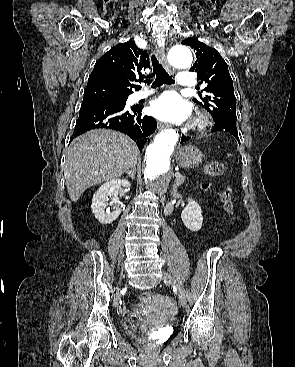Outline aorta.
<instances>
[{
    "instance_id": "aorta-1",
    "label": "aorta",
    "mask_w": 295,
    "mask_h": 367,
    "mask_svg": "<svg viewBox=\"0 0 295 367\" xmlns=\"http://www.w3.org/2000/svg\"><path fill=\"white\" fill-rule=\"evenodd\" d=\"M192 54L187 47L175 46L168 53L169 63L176 68H188ZM179 139L171 128L161 130L146 149L145 180L151 187H158L169 177L170 156Z\"/></svg>"
}]
</instances>
